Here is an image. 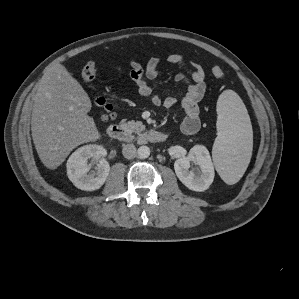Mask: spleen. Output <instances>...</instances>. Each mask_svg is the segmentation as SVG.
I'll return each mask as SVG.
<instances>
[{
  "instance_id": "3e777b00",
  "label": "spleen",
  "mask_w": 299,
  "mask_h": 299,
  "mask_svg": "<svg viewBox=\"0 0 299 299\" xmlns=\"http://www.w3.org/2000/svg\"><path fill=\"white\" fill-rule=\"evenodd\" d=\"M217 137L212 157L217 172L229 185L244 175L252 154V126L247 109L233 90H225L217 101Z\"/></svg>"
}]
</instances>
